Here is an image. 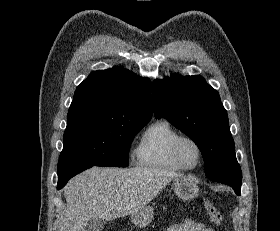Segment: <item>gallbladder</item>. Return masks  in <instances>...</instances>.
<instances>
[{
  "instance_id": "1",
  "label": "gallbladder",
  "mask_w": 280,
  "mask_h": 231,
  "mask_svg": "<svg viewBox=\"0 0 280 231\" xmlns=\"http://www.w3.org/2000/svg\"><path fill=\"white\" fill-rule=\"evenodd\" d=\"M106 221L104 219H96V217H92L90 221H88L85 231H101V229H104Z\"/></svg>"
}]
</instances>
